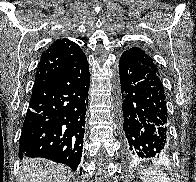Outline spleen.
Instances as JSON below:
<instances>
[{
    "label": "spleen",
    "mask_w": 196,
    "mask_h": 182,
    "mask_svg": "<svg viewBox=\"0 0 196 182\" xmlns=\"http://www.w3.org/2000/svg\"><path fill=\"white\" fill-rule=\"evenodd\" d=\"M142 180L143 182H169L165 173L151 169L142 174Z\"/></svg>",
    "instance_id": "spleen-1"
}]
</instances>
